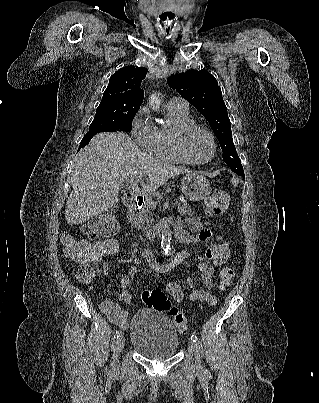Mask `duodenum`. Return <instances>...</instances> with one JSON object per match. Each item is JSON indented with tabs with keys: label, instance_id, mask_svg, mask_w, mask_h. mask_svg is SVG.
I'll use <instances>...</instances> for the list:
<instances>
[{
	"label": "duodenum",
	"instance_id": "1",
	"mask_svg": "<svg viewBox=\"0 0 319 403\" xmlns=\"http://www.w3.org/2000/svg\"><path fill=\"white\" fill-rule=\"evenodd\" d=\"M124 205L128 210L138 208L142 204V199L134 191H128L123 196ZM171 222L169 220H161L149 227L146 232V236L149 239L156 237L160 232L169 228Z\"/></svg>",
	"mask_w": 319,
	"mask_h": 403
}]
</instances>
